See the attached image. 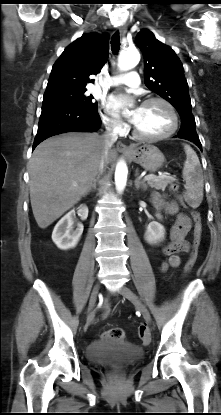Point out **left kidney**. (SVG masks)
<instances>
[{"label": "left kidney", "mask_w": 221, "mask_h": 415, "mask_svg": "<svg viewBox=\"0 0 221 415\" xmlns=\"http://www.w3.org/2000/svg\"><path fill=\"white\" fill-rule=\"evenodd\" d=\"M158 219H161L162 216L158 213L156 214ZM165 237V229L162 224L156 221H152L148 224L147 230L145 232L144 238L147 243L153 245L157 244L164 240Z\"/></svg>", "instance_id": "left-kidney-1"}]
</instances>
